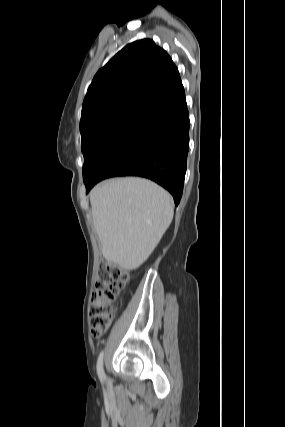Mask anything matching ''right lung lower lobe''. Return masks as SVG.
Instances as JSON below:
<instances>
[{
  "label": "right lung lower lobe",
  "mask_w": 285,
  "mask_h": 427,
  "mask_svg": "<svg viewBox=\"0 0 285 427\" xmlns=\"http://www.w3.org/2000/svg\"><path fill=\"white\" fill-rule=\"evenodd\" d=\"M189 125L180 80L144 107L93 177L85 182L87 192L108 177L140 176L167 189L178 205L187 165Z\"/></svg>",
  "instance_id": "obj_1"
}]
</instances>
